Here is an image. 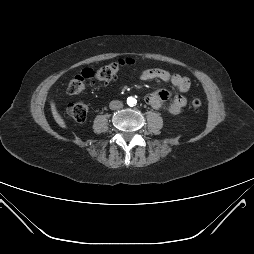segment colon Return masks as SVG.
<instances>
[{"label":"colon","mask_w":254,"mask_h":254,"mask_svg":"<svg viewBox=\"0 0 254 254\" xmlns=\"http://www.w3.org/2000/svg\"><path fill=\"white\" fill-rule=\"evenodd\" d=\"M133 65L134 61L127 59L102 66L97 70L89 68L83 69L80 74L76 75L68 83L67 93L70 95H76L83 92L89 81H110L122 67ZM191 104L193 108L199 109L202 106V101L199 98H194ZM88 110L89 107L84 102L69 103L66 106V113L68 116L77 122H83L86 119Z\"/></svg>","instance_id":"colon-1"}]
</instances>
